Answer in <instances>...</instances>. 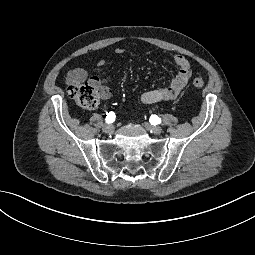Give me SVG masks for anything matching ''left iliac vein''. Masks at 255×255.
<instances>
[{
	"label": "left iliac vein",
	"instance_id": "obj_1",
	"mask_svg": "<svg viewBox=\"0 0 255 255\" xmlns=\"http://www.w3.org/2000/svg\"><path fill=\"white\" fill-rule=\"evenodd\" d=\"M144 126L147 130L151 131L152 133L159 135L162 133V128L159 126H152L149 123H144Z\"/></svg>",
	"mask_w": 255,
	"mask_h": 255
}]
</instances>
